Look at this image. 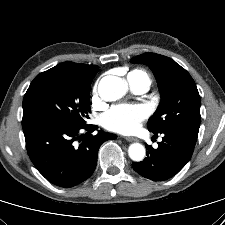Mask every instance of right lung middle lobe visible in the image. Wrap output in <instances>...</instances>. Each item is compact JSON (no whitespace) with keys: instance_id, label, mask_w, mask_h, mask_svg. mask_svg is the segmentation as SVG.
<instances>
[{"instance_id":"right-lung-middle-lobe-1","label":"right lung middle lobe","mask_w":225,"mask_h":225,"mask_svg":"<svg viewBox=\"0 0 225 225\" xmlns=\"http://www.w3.org/2000/svg\"><path fill=\"white\" fill-rule=\"evenodd\" d=\"M98 69L59 64L36 76L23 99V118L46 116L81 127L90 112V85Z\"/></svg>"}]
</instances>
